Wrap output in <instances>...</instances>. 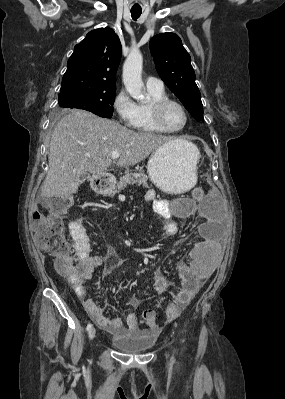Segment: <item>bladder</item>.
<instances>
[{"label": "bladder", "mask_w": 285, "mask_h": 399, "mask_svg": "<svg viewBox=\"0 0 285 399\" xmlns=\"http://www.w3.org/2000/svg\"><path fill=\"white\" fill-rule=\"evenodd\" d=\"M155 342L152 331L136 330L133 335L112 337L111 344L121 352L128 354L144 353L150 350Z\"/></svg>", "instance_id": "31cf9c89"}]
</instances>
